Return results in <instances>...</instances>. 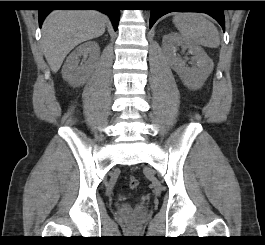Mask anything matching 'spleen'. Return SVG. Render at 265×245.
Listing matches in <instances>:
<instances>
[{
    "label": "spleen",
    "instance_id": "1",
    "mask_svg": "<svg viewBox=\"0 0 265 245\" xmlns=\"http://www.w3.org/2000/svg\"><path fill=\"white\" fill-rule=\"evenodd\" d=\"M173 23L185 39L209 48H217L220 45L217 28L199 13H177Z\"/></svg>",
    "mask_w": 265,
    "mask_h": 245
}]
</instances>
